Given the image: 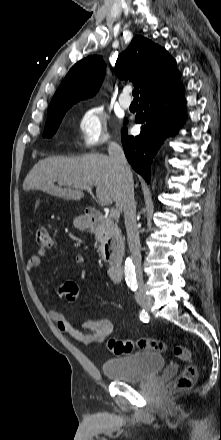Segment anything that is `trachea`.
<instances>
[{
	"mask_svg": "<svg viewBox=\"0 0 221 440\" xmlns=\"http://www.w3.org/2000/svg\"><path fill=\"white\" fill-rule=\"evenodd\" d=\"M132 95L134 96V99H138V96H139V89H138V88H135V89L132 91Z\"/></svg>",
	"mask_w": 221,
	"mask_h": 440,
	"instance_id": "obj_1",
	"label": "trachea"
}]
</instances>
